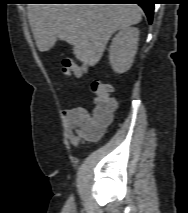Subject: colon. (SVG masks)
<instances>
[{"label": "colon", "mask_w": 188, "mask_h": 213, "mask_svg": "<svg viewBox=\"0 0 188 213\" xmlns=\"http://www.w3.org/2000/svg\"><path fill=\"white\" fill-rule=\"evenodd\" d=\"M62 71L70 77L78 78L85 72V67L71 58H64L62 61ZM91 90L94 94L93 101L96 106L93 124L106 125L110 123L117 109V102L111 96L112 87L101 80L95 79L91 83ZM75 134V130L70 131V135Z\"/></svg>", "instance_id": "colon-1"}]
</instances>
